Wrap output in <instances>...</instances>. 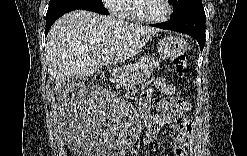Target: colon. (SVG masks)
I'll list each match as a JSON object with an SVG mask.
<instances>
[{
    "mask_svg": "<svg viewBox=\"0 0 247 156\" xmlns=\"http://www.w3.org/2000/svg\"><path fill=\"white\" fill-rule=\"evenodd\" d=\"M186 67V55L180 54L176 56L171 63V69L173 72L178 74V76L182 77L184 74V70ZM160 106H172L171 98H159V101H155L154 111L158 112Z\"/></svg>",
    "mask_w": 247,
    "mask_h": 156,
    "instance_id": "1",
    "label": "colon"
}]
</instances>
